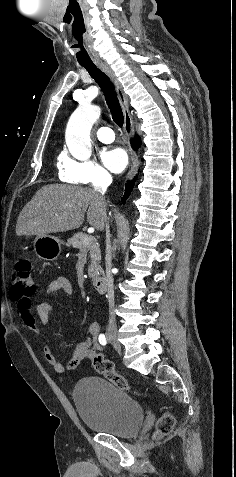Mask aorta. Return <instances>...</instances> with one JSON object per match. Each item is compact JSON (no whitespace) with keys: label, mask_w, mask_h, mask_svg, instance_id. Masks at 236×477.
Returning <instances> with one entry per match:
<instances>
[{"label":"aorta","mask_w":236,"mask_h":477,"mask_svg":"<svg viewBox=\"0 0 236 477\" xmlns=\"http://www.w3.org/2000/svg\"><path fill=\"white\" fill-rule=\"evenodd\" d=\"M101 109L98 106L80 105L71 115L66 128V144L70 152L81 159L91 155L90 130L99 118Z\"/></svg>","instance_id":"762f6f07"}]
</instances>
